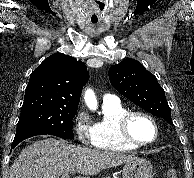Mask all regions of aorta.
<instances>
[{
	"mask_svg": "<svg viewBox=\"0 0 194 178\" xmlns=\"http://www.w3.org/2000/svg\"><path fill=\"white\" fill-rule=\"evenodd\" d=\"M85 102L87 106L92 109L96 110L97 108V99L95 97L94 92L91 89H87L84 96Z\"/></svg>",
	"mask_w": 194,
	"mask_h": 178,
	"instance_id": "1",
	"label": "aorta"
}]
</instances>
